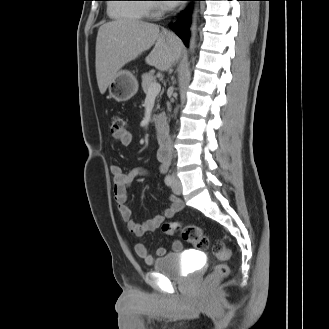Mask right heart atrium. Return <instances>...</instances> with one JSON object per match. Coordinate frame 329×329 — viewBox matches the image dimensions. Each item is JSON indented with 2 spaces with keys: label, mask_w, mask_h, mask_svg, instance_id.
I'll list each match as a JSON object with an SVG mask.
<instances>
[{
  "label": "right heart atrium",
  "mask_w": 329,
  "mask_h": 329,
  "mask_svg": "<svg viewBox=\"0 0 329 329\" xmlns=\"http://www.w3.org/2000/svg\"><path fill=\"white\" fill-rule=\"evenodd\" d=\"M164 9V5L157 0H154L153 3L150 6V10L152 15L156 16L158 15L160 12H162Z\"/></svg>",
  "instance_id": "obj_1"
}]
</instances>
